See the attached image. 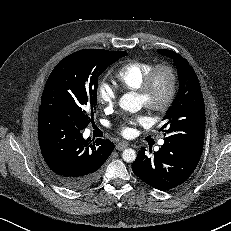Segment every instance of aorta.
<instances>
[{"label": "aorta", "mask_w": 231, "mask_h": 231, "mask_svg": "<svg viewBox=\"0 0 231 231\" xmlns=\"http://www.w3.org/2000/svg\"><path fill=\"white\" fill-rule=\"evenodd\" d=\"M119 106L125 110L132 113L139 111L142 107L140 98L134 92H129L124 94L119 100ZM122 158L125 162L131 163L136 159L135 150L129 148L125 149L122 153Z\"/></svg>", "instance_id": "1"}]
</instances>
